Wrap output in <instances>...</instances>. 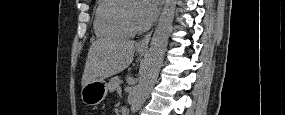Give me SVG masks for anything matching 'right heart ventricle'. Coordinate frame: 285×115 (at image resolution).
<instances>
[{
  "mask_svg": "<svg viewBox=\"0 0 285 115\" xmlns=\"http://www.w3.org/2000/svg\"><path fill=\"white\" fill-rule=\"evenodd\" d=\"M124 0H100L94 11V31L103 38H123L131 35L120 20Z\"/></svg>",
  "mask_w": 285,
  "mask_h": 115,
  "instance_id": "1",
  "label": "right heart ventricle"
}]
</instances>
